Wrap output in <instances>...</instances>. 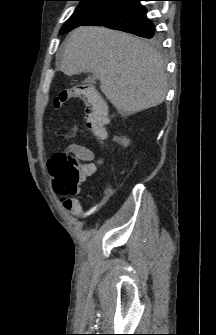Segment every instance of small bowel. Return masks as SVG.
<instances>
[{"instance_id": "small-bowel-1", "label": "small bowel", "mask_w": 216, "mask_h": 335, "mask_svg": "<svg viewBox=\"0 0 216 335\" xmlns=\"http://www.w3.org/2000/svg\"><path fill=\"white\" fill-rule=\"evenodd\" d=\"M68 136L71 137L72 135L69 134ZM67 148L72 152L73 156H75L79 161H81L82 165H86L87 163H91L95 167L94 173L96 172L98 166H100L102 164V162H101L100 165L96 164V161L99 160V159L96 158L95 153L88 147H85L81 144L72 143ZM48 168H49V173L52 176V172H51V169H50L49 165H48ZM61 200L64 202L65 198L62 197ZM72 200L78 204V206L76 208H74L75 214L79 215V216L86 215V214L83 213L82 207L80 206L79 202L77 200H74V199H72Z\"/></svg>"}]
</instances>
